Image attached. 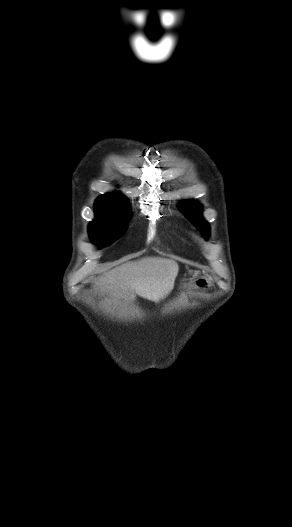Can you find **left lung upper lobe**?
<instances>
[{
  "instance_id": "1",
  "label": "left lung upper lobe",
  "mask_w": 292,
  "mask_h": 527,
  "mask_svg": "<svg viewBox=\"0 0 292 527\" xmlns=\"http://www.w3.org/2000/svg\"><path fill=\"white\" fill-rule=\"evenodd\" d=\"M182 211L187 217H190L193 222L196 224L197 228L206 236L208 235V224L207 222L199 216L200 214V205L197 203L187 202L182 205Z\"/></svg>"
}]
</instances>
